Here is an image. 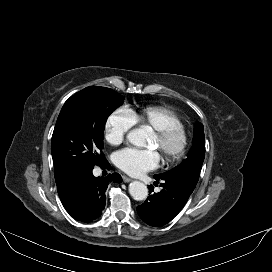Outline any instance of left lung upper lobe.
I'll use <instances>...</instances> for the list:
<instances>
[{"instance_id": "left-lung-upper-lobe-1", "label": "left lung upper lobe", "mask_w": 272, "mask_h": 272, "mask_svg": "<svg viewBox=\"0 0 272 272\" xmlns=\"http://www.w3.org/2000/svg\"><path fill=\"white\" fill-rule=\"evenodd\" d=\"M204 155L205 137L203 132V124L196 122L194 124L192 148L187 156V159L172 170L162 174H157L155 176L181 181L190 187L195 188L200 176Z\"/></svg>"}]
</instances>
